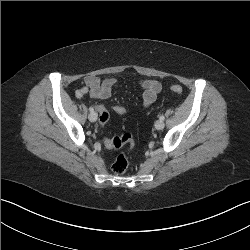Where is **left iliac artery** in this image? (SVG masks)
Here are the masks:
<instances>
[{
	"mask_svg": "<svg viewBox=\"0 0 250 250\" xmlns=\"http://www.w3.org/2000/svg\"><path fill=\"white\" fill-rule=\"evenodd\" d=\"M159 118H160V120H164L165 119L163 115H161Z\"/></svg>",
	"mask_w": 250,
	"mask_h": 250,
	"instance_id": "obj_1",
	"label": "left iliac artery"
}]
</instances>
